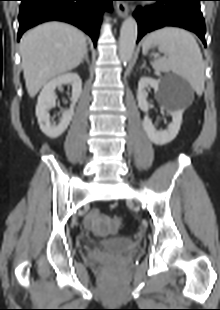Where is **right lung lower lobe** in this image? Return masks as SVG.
<instances>
[{"instance_id":"98d812e1","label":"right lung lower lobe","mask_w":220,"mask_h":310,"mask_svg":"<svg viewBox=\"0 0 220 310\" xmlns=\"http://www.w3.org/2000/svg\"><path fill=\"white\" fill-rule=\"evenodd\" d=\"M112 1L21 0L18 40L26 30L33 26L50 20H59L82 29L92 38L96 46L102 14L105 9L111 10Z\"/></svg>"}]
</instances>
